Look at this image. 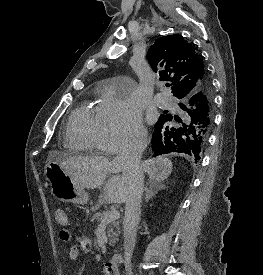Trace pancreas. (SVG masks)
<instances>
[{"label":"pancreas","instance_id":"pancreas-1","mask_svg":"<svg viewBox=\"0 0 263 275\" xmlns=\"http://www.w3.org/2000/svg\"><path fill=\"white\" fill-rule=\"evenodd\" d=\"M97 206H93L91 208V210L93 212H95L97 210ZM109 211H99V212H96L94 215H93V219L96 220L97 222H101L103 220V218L105 217V214L108 213ZM119 221H112L107 229V234H108V237H109V243L110 245H113L115 244L117 241H118V236L120 234V231H119Z\"/></svg>","mask_w":263,"mask_h":275}]
</instances>
